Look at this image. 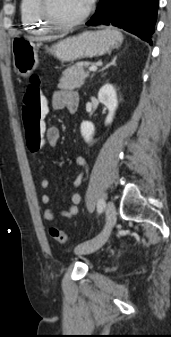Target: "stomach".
<instances>
[{
    "instance_id": "0dacf381",
    "label": "stomach",
    "mask_w": 171,
    "mask_h": 337,
    "mask_svg": "<svg viewBox=\"0 0 171 337\" xmlns=\"http://www.w3.org/2000/svg\"><path fill=\"white\" fill-rule=\"evenodd\" d=\"M123 41L122 34L111 28L87 31L75 37L64 39L48 51L61 61L72 62L86 57L101 56L118 48ZM41 43L17 37L12 41L13 66L15 71L26 77L38 66V52Z\"/></svg>"
}]
</instances>
